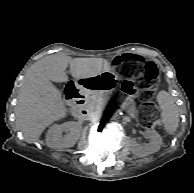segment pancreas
I'll return each mask as SVG.
<instances>
[{
  "instance_id": "1",
  "label": "pancreas",
  "mask_w": 194,
  "mask_h": 193,
  "mask_svg": "<svg viewBox=\"0 0 194 193\" xmlns=\"http://www.w3.org/2000/svg\"><path fill=\"white\" fill-rule=\"evenodd\" d=\"M96 99L103 100V102L112 103L120 106L129 116L134 117L137 110L131 99H128L127 95L121 93H106L99 94Z\"/></svg>"
}]
</instances>
